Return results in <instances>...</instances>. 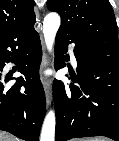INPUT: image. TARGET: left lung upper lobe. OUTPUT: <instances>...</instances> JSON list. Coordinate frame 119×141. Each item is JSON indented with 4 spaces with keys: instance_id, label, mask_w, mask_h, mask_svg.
<instances>
[{
    "instance_id": "obj_1",
    "label": "left lung upper lobe",
    "mask_w": 119,
    "mask_h": 141,
    "mask_svg": "<svg viewBox=\"0 0 119 141\" xmlns=\"http://www.w3.org/2000/svg\"><path fill=\"white\" fill-rule=\"evenodd\" d=\"M61 16L60 31L82 40L92 52L119 56L118 27L109 0H48Z\"/></svg>"
}]
</instances>
